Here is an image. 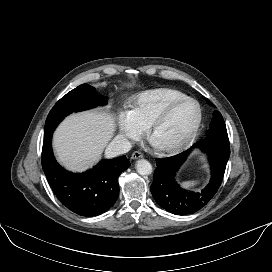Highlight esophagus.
Returning <instances> with one entry per match:
<instances>
[{
    "mask_svg": "<svg viewBox=\"0 0 272 272\" xmlns=\"http://www.w3.org/2000/svg\"><path fill=\"white\" fill-rule=\"evenodd\" d=\"M143 157V154L139 151H135L134 153H132L131 155V159L133 160H137Z\"/></svg>",
    "mask_w": 272,
    "mask_h": 272,
    "instance_id": "obj_1",
    "label": "esophagus"
}]
</instances>
